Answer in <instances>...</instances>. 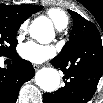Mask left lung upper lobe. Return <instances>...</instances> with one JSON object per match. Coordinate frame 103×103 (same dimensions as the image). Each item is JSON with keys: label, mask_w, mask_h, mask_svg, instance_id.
<instances>
[{"label": "left lung upper lobe", "mask_w": 103, "mask_h": 103, "mask_svg": "<svg viewBox=\"0 0 103 103\" xmlns=\"http://www.w3.org/2000/svg\"><path fill=\"white\" fill-rule=\"evenodd\" d=\"M68 11L73 19V27L69 41L65 44L57 57L66 58L73 54V52H79L84 54L85 57H88L92 53L85 48V40L89 37H99V31L92 22L86 20L74 11Z\"/></svg>", "instance_id": "5c2ea615"}]
</instances>
